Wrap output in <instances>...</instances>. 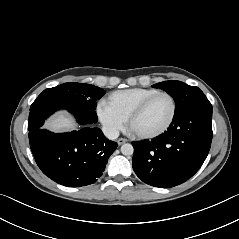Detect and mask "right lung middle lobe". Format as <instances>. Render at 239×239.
<instances>
[{"label": "right lung middle lobe", "mask_w": 239, "mask_h": 239, "mask_svg": "<svg viewBox=\"0 0 239 239\" xmlns=\"http://www.w3.org/2000/svg\"><path fill=\"white\" fill-rule=\"evenodd\" d=\"M104 94L102 88L75 82L48 88L31 105L28 130L40 125L58 109H67L80 120L95 122L96 101Z\"/></svg>", "instance_id": "obj_1"}]
</instances>
